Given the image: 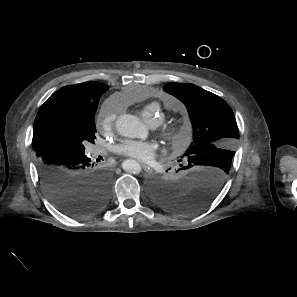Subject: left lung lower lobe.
I'll return each instance as SVG.
<instances>
[{
    "label": "left lung lower lobe",
    "instance_id": "left-lung-lower-lobe-1",
    "mask_svg": "<svg viewBox=\"0 0 297 297\" xmlns=\"http://www.w3.org/2000/svg\"><path fill=\"white\" fill-rule=\"evenodd\" d=\"M181 165L183 173L170 181L155 180L149 185L153 201L160 207L181 214L197 212L220 192L227 173L222 166Z\"/></svg>",
    "mask_w": 297,
    "mask_h": 297
}]
</instances>
